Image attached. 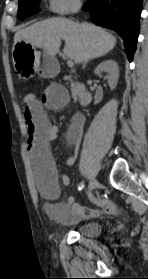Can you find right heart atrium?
I'll return each instance as SVG.
<instances>
[{"instance_id":"1","label":"right heart atrium","mask_w":148,"mask_h":279,"mask_svg":"<svg viewBox=\"0 0 148 279\" xmlns=\"http://www.w3.org/2000/svg\"><path fill=\"white\" fill-rule=\"evenodd\" d=\"M49 9L57 14H67L77 11L81 6V0H48Z\"/></svg>"}]
</instances>
